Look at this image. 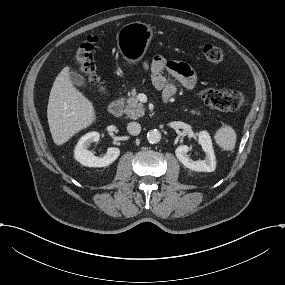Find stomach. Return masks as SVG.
Returning a JSON list of instances; mask_svg holds the SVG:
<instances>
[{"label": "stomach", "instance_id": "0dacf381", "mask_svg": "<svg viewBox=\"0 0 285 285\" xmlns=\"http://www.w3.org/2000/svg\"><path fill=\"white\" fill-rule=\"evenodd\" d=\"M154 34L153 26L141 21L127 23L118 30L117 48L129 67L142 61Z\"/></svg>", "mask_w": 285, "mask_h": 285}]
</instances>
